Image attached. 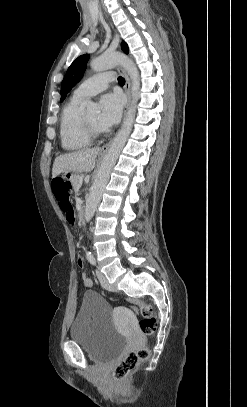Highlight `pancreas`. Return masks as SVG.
I'll use <instances>...</instances> for the list:
<instances>
[{"mask_svg": "<svg viewBox=\"0 0 247 407\" xmlns=\"http://www.w3.org/2000/svg\"><path fill=\"white\" fill-rule=\"evenodd\" d=\"M81 178H83V175L74 176V178L71 181L74 188H77L79 186Z\"/></svg>", "mask_w": 247, "mask_h": 407, "instance_id": "1", "label": "pancreas"}]
</instances>
